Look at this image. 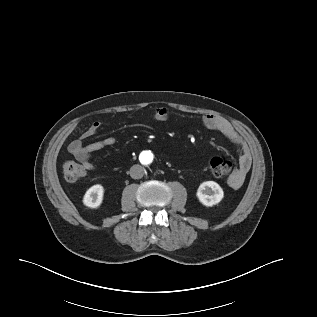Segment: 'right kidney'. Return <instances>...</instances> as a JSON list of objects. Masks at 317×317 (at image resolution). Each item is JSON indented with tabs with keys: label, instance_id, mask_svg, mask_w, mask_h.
I'll return each instance as SVG.
<instances>
[{
	"label": "right kidney",
	"instance_id": "obj_1",
	"mask_svg": "<svg viewBox=\"0 0 317 317\" xmlns=\"http://www.w3.org/2000/svg\"><path fill=\"white\" fill-rule=\"evenodd\" d=\"M103 193L104 189L100 184L90 187L83 197L84 205L90 208H98L102 203Z\"/></svg>",
	"mask_w": 317,
	"mask_h": 317
}]
</instances>
